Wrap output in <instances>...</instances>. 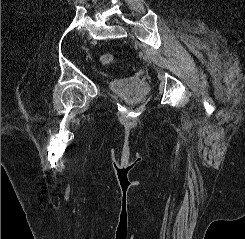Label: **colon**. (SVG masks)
Here are the masks:
<instances>
[{"instance_id":"5ec220e1","label":"colon","mask_w":245,"mask_h":239,"mask_svg":"<svg viewBox=\"0 0 245 239\" xmlns=\"http://www.w3.org/2000/svg\"><path fill=\"white\" fill-rule=\"evenodd\" d=\"M100 60L103 64L108 65V64H111L113 62L114 57L110 53H105V54L101 55Z\"/></svg>"}]
</instances>
